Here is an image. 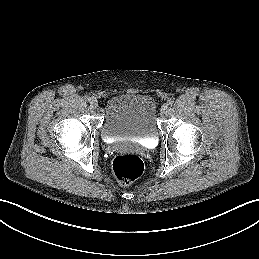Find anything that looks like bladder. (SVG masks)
Instances as JSON below:
<instances>
[{
    "mask_svg": "<svg viewBox=\"0 0 259 259\" xmlns=\"http://www.w3.org/2000/svg\"><path fill=\"white\" fill-rule=\"evenodd\" d=\"M156 103L140 93L111 96L104 105L101 136L106 141L157 139Z\"/></svg>",
    "mask_w": 259,
    "mask_h": 259,
    "instance_id": "bladder-1",
    "label": "bladder"
}]
</instances>
